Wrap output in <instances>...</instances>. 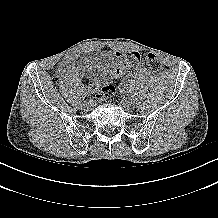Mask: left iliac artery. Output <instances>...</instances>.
<instances>
[{"mask_svg":"<svg viewBox=\"0 0 218 218\" xmlns=\"http://www.w3.org/2000/svg\"><path fill=\"white\" fill-rule=\"evenodd\" d=\"M132 95H127V100H132Z\"/></svg>","mask_w":218,"mask_h":218,"instance_id":"1","label":"left iliac artery"}]
</instances>
